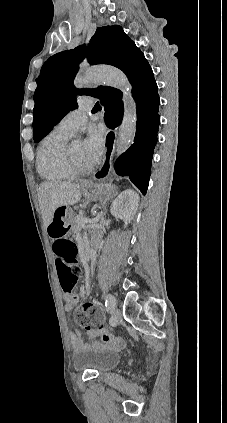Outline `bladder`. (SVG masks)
Returning a JSON list of instances; mask_svg holds the SVG:
<instances>
[{"mask_svg":"<svg viewBox=\"0 0 227 423\" xmlns=\"http://www.w3.org/2000/svg\"><path fill=\"white\" fill-rule=\"evenodd\" d=\"M77 370L90 369L97 374L112 370L121 364V353L111 349L88 347L73 356Z\"/></svg>","mask_w":227,"mask_h":423,"instance_id":"31cf9c89","label":"bladder"}]
</instances>
